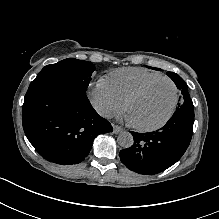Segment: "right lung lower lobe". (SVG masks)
Returning a JSON list of instances; mask_svg holds the SVG:
<instances>
[{
	"label": "right lung lower lobe",
	"instance_id": "1",
	"mask_svg": "<svg viewBox=\"0 0 219 219\" xmlns=\"http://www.w3.org/2000/svg\"><path fill=\"white\" fill-rule=\"evenodd\" d=\"M22 123L36 151L62 165L80 163L96 136L112 132L110 123L97 114L82 89L55 81L31 82Z\"/></svg>",
	"mask_w": 219,
	"mask_h": 219
}]
</instances>
